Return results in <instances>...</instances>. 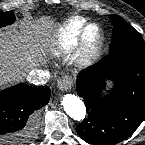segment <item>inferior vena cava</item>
I'll return each instance as SVG.
<instances>
[{"instance_id":"602c4592","label":"inferior vena cava","mask_w":145,"mask_h":145,"mask_svg":"<svg viewBox=\"0 0 145 145\" xmlns=\"http://www.w3.org/2000/svg\"><path fill=\"white\" fill-rule=\"evenodd\" d=\"M49 73L42 70H33L29 73L27 79L35 85H42L48 81Z\"/></svg>"}]
</instances>
